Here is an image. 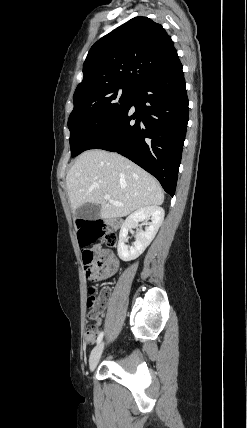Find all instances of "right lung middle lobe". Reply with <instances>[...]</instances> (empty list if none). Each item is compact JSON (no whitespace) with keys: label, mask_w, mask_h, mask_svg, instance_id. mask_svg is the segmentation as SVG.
<instances>
[{"label":"right lung middle lobe","mask_w":247,"mask_h":428,"mask_svg":"<svg viewBox=\"0 0 247 428\" xmlns=\"http://www.w3.org/2000/svg\"><path fill=\"white\" fill-rule=\"evenodd\" d=\"M135 90L127 86H115L73 98L74 109L68 119L72 157L87 150L124 112Z\"/></svg>","instance_id":"right-lung-middle-lobe-1"}]
</instances>
